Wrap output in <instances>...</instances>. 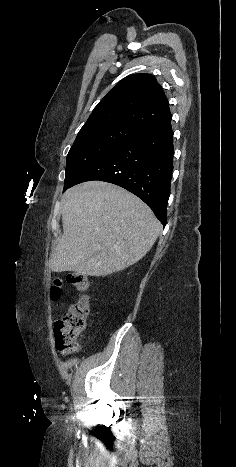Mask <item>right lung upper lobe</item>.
Here are the masks:
<instances>
[{"mask_svg": "<svg viewBox=\"0 0 236 467\" xmlns=\"http://www.w3.org/2000/svg\"><path fill=\"white\" fill-rule=\"evenodd\" d=\"M171 116L164 91L150 74H132L122 79L97 104L80 131L119 125L141 131Z\"/></svg>", "mask_w": 236, "mask_h": 467, "instance_id": "1", "label": "right lung upper lobe"}]
</instances>
